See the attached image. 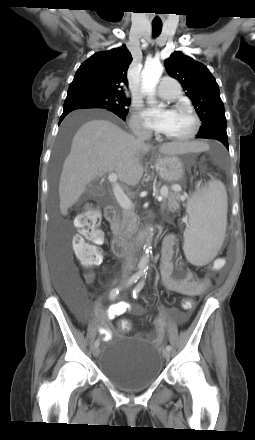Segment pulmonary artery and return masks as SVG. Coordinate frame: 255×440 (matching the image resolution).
<instances>
[{"label":"pulmonary artery","mask_w":255,"mask_h":440,"mask_svg":"<svg viewBox=\"0 0 255 440\" xmlns=\"http://www.w3.org/2000/svg\"><path fill=\"white\" fill-rule=\"evenodd\" d=\"M159 97L166 100H174L180 95V86L172 77H163L157 88Z\"/></svg>","instance_id":"1"}]
</instances>
